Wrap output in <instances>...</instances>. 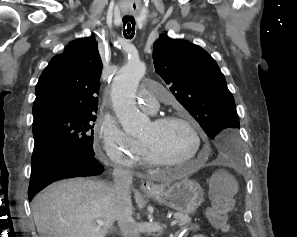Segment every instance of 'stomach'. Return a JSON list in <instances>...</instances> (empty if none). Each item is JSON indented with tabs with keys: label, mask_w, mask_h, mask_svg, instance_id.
Returning a JSON list of instances; mask_svg holds the SVG:
<instances>
[{
	"label": "stomach",
	"mask_w": 297,
	"mask_h": 237,
	"mask_svg": "<svg viewBox=\"0 0 297 237\" xmlns=\"http://www.w3.org/2000/svg\"><path fill=\"white\" fill-rule=\"evenodd\" d=\"M147 195L183 214L194 213L204 200L198 182L187 178L171 186L161 185L155 191H148Z\"/></svg>",
	"instance_id": "1"
}]
</instances>
